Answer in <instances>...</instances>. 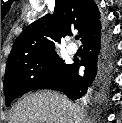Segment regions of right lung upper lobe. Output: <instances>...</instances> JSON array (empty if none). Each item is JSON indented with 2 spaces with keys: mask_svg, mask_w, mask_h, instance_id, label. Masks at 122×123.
<instances>
[{
  "mask_svg": "<svg viewBox=\"0 0 122 123\" xmlns=\"http://www.w3.org/2000/svg\"><path fill=\"white\" fill-rule=\"evenodd\" d=\"M77 29L82 42L101 29L100 12L92 0H56L52 15L31 23L16 39L7 60L6 68L26 59L53 53L54 41L71 35Z\"/></svg>",
  "mask_w": 122,
  "mask_h": 123,
  "instance_id": "right-lung-upper-lobe-1",
  "label": "right lung upper lobe"
}]
</instances>
